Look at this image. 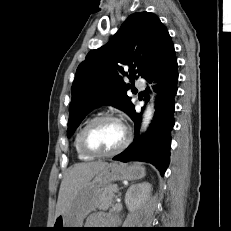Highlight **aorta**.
<instances>
[{"instance_id": "obj_1", "label": "aorta", "mask_w": 231, "mask_h": 231, "mask_svg": "<svg viewBox=\"0 0 231 231\" xmlns=\"http://www.w3.org/2000/svg\"><path fill=\"white\" fill-rule=\"evenodd\" d=\"M150 102L151 103L147 105V107L144 111V114H143V119H142V124H141V131L142 132L147 130V128L149 127V125L153 119V116H154V112H155L154 95L151 96Z\"/></svg>"}]
</instances>
